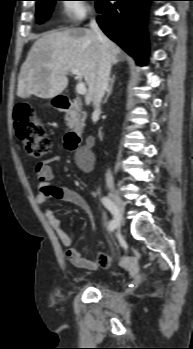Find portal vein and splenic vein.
I'll list each match as a JSON object with an SVG mask.
<instances>
[{
    "label": "portal vein and splenic vein",
    "mask_w": 193,
    "mask_h": 349,
    "mask_svg": "<svg viewBox=\"0 0 193 349\" xmlns=\"http://www.w3.org/2000/svg\"><path fill=\"white\" fill-rule=\"evenodd\" d=\"M71 73L76 75V78L79 80V82L77 83V86H76V90L79 94H85L87 89H86V85L84 82H82V74L80 73L79 70H76V69H73L71 70Z\"/></svg>",
    "instance_id": "portal-vein-and-splenic-vein-1"
}]
</instances>
